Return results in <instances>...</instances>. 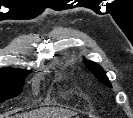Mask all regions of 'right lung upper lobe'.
Wrapping results in <instances>:
<instances>
[{
  "mask_svg": "<svg viewBox=\"0 0 133 118\" xmlns=\"http://www.w3.org/2000/svg\"><path fill=\"white\" fill-rule=\"evenodd\" d=\"M3 69H13V68H2V69H0V70H3Z\"/></svg>",
  "mask_w": 133,
  "mask_h": 118,
  "instance_id": "right-lung-upper-lobe-1",
  "label": "right lung upper lobe"
}]
</instances>
